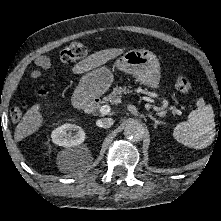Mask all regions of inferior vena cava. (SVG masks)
I'll return each instance as SVG.
<instances>
[{
  "label": "inferior vena cava",
  "mask_w": 221,
  "mask_h": 221,
  "mask_svg": "<svg viewBox=\"0 0 221 221\" xmlns=\"http://www.w3.org/2000/svg\"><path fill=\"white\" fill-rule=\"evenodd\" d=\"M113 123L114 121L111 118H102L96 122L97 126L102 128H109L113 125Z\"/></svg>",
  "instance_id": "obj_1"
}]
</instances>
